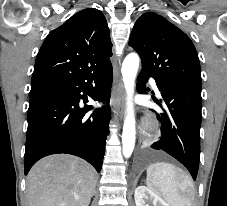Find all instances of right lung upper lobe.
Instances as JSON below:
<instances>
[{"instance_id":"cb5924a9","label":"right lung upper lobe","mask_w":227,"mask_h":206,"mask_svg":"<svg viewBox=\"0 0 227 206\" xmlns=\"http://www.w3.org/2000/svg\"><path fill=\"white\" fill-rule=\"evenodd\" d=\"M111 47L103 13L84 9L48 34L36 57L32 83L61 82L96 73L111 64Z\"/></svg>"}]
</instances>
